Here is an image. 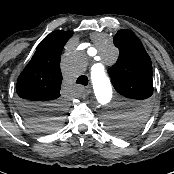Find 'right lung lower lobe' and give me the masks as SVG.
<instances>
[{
	"label": "right lung lower lobe",
	"instance_id": "obj_1",
	"mask_svg": "<svg viewBox=\"0 0 174 174\" xmlns=\"http://www.w3.org/2000/svg\"><path fill=\"white\" fill-rule=\"evenodd\" d=\"M18 106L22 116L26 120H29L37 115L46 114L50 112L52 108L62 105L61 103L43 104V103L29 102L25 100H18Z\"/></svg>",
	"mask_w": 174,
	"mask_h": 174
}]
</instances>
